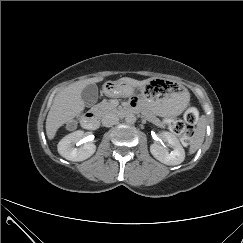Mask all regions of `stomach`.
Masks as SVG:
<instances>
[{"instance_id": "obj_1", "label": "stomach", "mask_w": 243, "mask_h": 243, "mask_svg": "<svg viewBox=\"0 0 243 243\" xmlns=\"http://www.w3.org/2000/svg\"><path fill=\"white\" fill-rule=\"evenodd\" d=\"M128 85L121 81H109L104 84V92L118 96ZM141 97L148 108L161 117L180 115L188 106L190 95L187 89L176 82L153 80L141 86Z\"/></svg>"}]
</instances>
